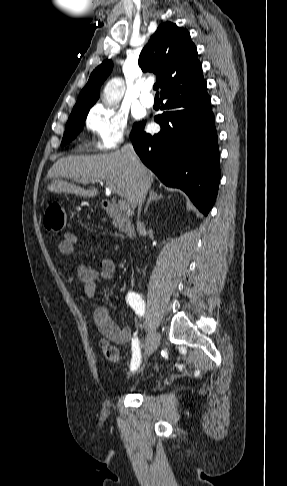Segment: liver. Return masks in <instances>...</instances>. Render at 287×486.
Segmentation results:
<instances>
[{"instance_id": "6515ba94", "label": "liver", "mask_w": 287, "mask_h": 486, "mask_svg": "<svg viewBox=\"0 0 287 486\" xmlns=\"http://www.w3.org/2000/svg\"><path fill=\"white\" fill-rule=\"evenodd\" d=\"M146 174L153 182V174L146 168ZM52 182L47 189L54 193H71L80 197H95L98 189H84L63 179H74L83 184L97 181L111 183L117 194L125 197L132 209L137 207L136 194L139 174L129 156L117 151L101 155L68 156L59 159L47 174Z\"/></svg>"}]
</instances>
